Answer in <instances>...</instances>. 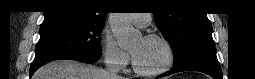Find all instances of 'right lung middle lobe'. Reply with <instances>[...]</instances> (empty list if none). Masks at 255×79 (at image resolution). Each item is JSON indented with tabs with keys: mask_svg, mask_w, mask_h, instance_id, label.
Listing matches in <instances>:
<instances>
[{
	"mask_svg": "<svg viewBox=\"0 0 255 79\" xmlns=\"http://www.w3.org/2000/svg\"><path fill=\"white\" fill-rule=\"evenodd\" d=\"M104 24L70 20L43 21L36 55L48 52H69L90 56L101 55L99 32Z\"/></svg>",
	"mask_w": 255,
	"mask_h": 79,
	"instance_id": "right-lung-middle-lobe-1",
	"label": "right lung middle lobe"
}]
</instances>
